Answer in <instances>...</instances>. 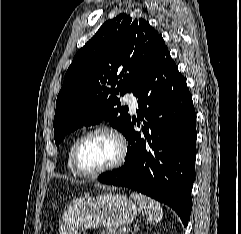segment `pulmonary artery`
Listing matches in <instances>:
<instances>
[{
  "mask_svg": "<svg viewBox=\"0 0 241 234\" xmlns=\"http://www.w3.org/2000/svg\"><path fill=\"white\" fill-rule=\"evenodd\" d=\"M124 101L128 104L131 111H135L138 108L137 98L132 93H126L124 95Z\"/></svg>",
  "mask_w": 241,
  "mask_h": 234,
  "instance_id": "1",
  "label": "pulmonary artery"
}]
</instances>
